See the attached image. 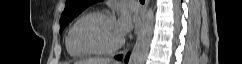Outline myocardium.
<instances>
[{
	"label": "myocardium",
	"instance_id": "myocardium-1",
	"mask_svg": "<svg viewBox=\"0 0 242 64\" xmlns=\"http://www.w3.org/2000/svg\"><path fill=\"white\" fill-rule=\"evenodd\" d=\"M107 18V19H113L115 20L114 16L111 13L108 12H102V11H95L87 13L83 16H81L72 26L71 33H70V41L72 46L76 51L83 55H109L116 51H118L123 45H124V38H122L116 45L105 48V49H91V48H85L82 47L76 40V31L80 24H82L84 21L91 19V18Z\"/></svg>",
	"mask_w": 242,
	"mask_h": 64
}]
</instances>
